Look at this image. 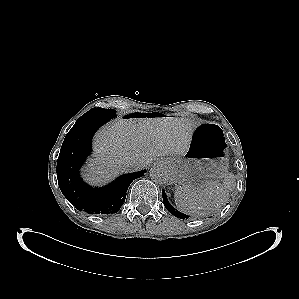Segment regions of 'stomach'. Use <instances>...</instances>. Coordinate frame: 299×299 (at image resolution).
<instances>
[{"instance_id": "1", "label": "stomach", "mask_w": 299, "mask_h": 299, "mask_svg": "<svg viewBox=\"0 0 299 299\" xmlns=\"http://www.w3.org/2000/svg\"><path fill=\"white\" fill-rule=\"evenodd\" d=\"M175 181L190 189H202L222 179L228 171L223 131L214 122H201L195 128L189 148L166 159Z\"/></svg>"}]
</instances>
